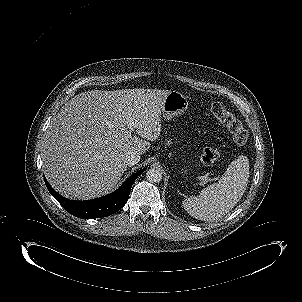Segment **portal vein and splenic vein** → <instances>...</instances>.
Here are the masks:
<instances>
[{
	"label": "portal vein and splenic vein",
	"instance_id": "obj_1",
	"mask_svg": "<svg viewBox=\"0 0 302 302\" xmlns=\"http://www.w3.org/2000/svg\"><path fill=\"white\" fill-rule=\"evenodd\" d=\"M128 120H129V123H130L131 127L135 126V123H134V121L131 117ZM198 179L201 180V181H209L208 176H199Z\"/></svg>",
	"mask_w": 302,
	"mask_h": 302
}]
</instances>
